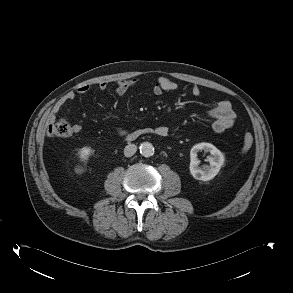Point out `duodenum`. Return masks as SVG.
I'll return each mask as SVG.
<instances>
[{"instance_id":"1","label":"duodenum","mask_w":293,"mask_h":293,"mask_svg":"<svg viewBox=\"0 0 293 293\" xmlns=\"http://www.w3.org/2000/svg\"><path fill=\"white\" fill-rule=\"evenodd\" d=\"M153 132H154V130L151 129V128L139 129V130H136V131L130 133V134L127 136V140L132 141V140L137 139V138L140 137L141 135L149 134V133H153Z\"/></svg>"}]
</instances>
